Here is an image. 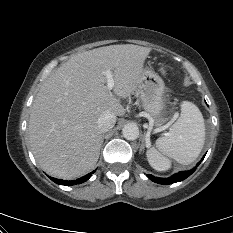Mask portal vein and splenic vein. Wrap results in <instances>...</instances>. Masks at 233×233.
Returning <instances> with one entry per match:
<instances>
[{"label":"portal vein and splenic vein","instance_id":"1","mask_svg":"<svg viewBox=\"0 0 233 233\" xmlns=\"http://www.w3.org/2000/svg\"><path fill=\"white\" fill-rule=\"evenodd\" d=\"M105 76H106V79H107V88H108V90H112L113 87H114V84H115V81H114L113 75H112V71L107 70L105 72Z\"/></svg>","mask_w":233,"mask_h":233}]
</instances>
